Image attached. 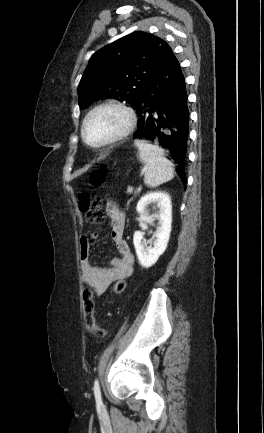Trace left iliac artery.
I'll list each match as a JSON object with an SVG mask.
<instances>
[{"label":"left iliac artery","mask_w":264,"mask_h":433,"mask_svg":"<svg viewBox=\"0 0 264 433\" xmlns=\"http://www.w3.org/2000/svg\"><path fill=\"white\" fill-rule=\"evenodd\" d=\"M94 395L97 403L101 404L102 403L101 392H100L99 382L97 379L94 382Z\"/></svg>","instance_id":"obj_1"}]
</instances>
